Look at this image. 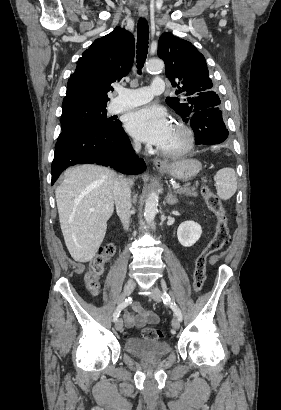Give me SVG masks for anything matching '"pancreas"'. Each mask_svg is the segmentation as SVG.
I'll return each mask as SVG.
<instances>
[{
    "label": "pancreas",
    "instance_id": "1",
    "mask_svg": "<svg viewBox=\"0 0 281 410\" xmlns=\"http://www.w3.org/2000/svg\"><path fill=\"white\" fill-rule=\"evenodd\" d=\"M175 193L177 194H185L186 196H193L197 197L198 193L196 191V187H190L189 184H185L183 187H179L178 189L175 190Z\"/></svg>",
    "mask_w": 281,
    "mask_h": 410
}]
</instances>
